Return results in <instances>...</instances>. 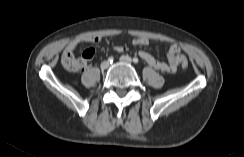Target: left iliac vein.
<instances>
[{
	"label": "left iliac vein",
	"mask_w": 244,
	"mask_h": 157,
	"mask_svg": "<svg viewBox=\"0 0 244 157\" xmlns=\"http://www.w3.org/2000/svg\"><path fill=\"white\" fill-rule=\"evenodd\" d=\"M120 61L123 63H128L131 64L132 63V59L131 57L127 56V55H123L120 57Z\"/></svg>",
	"instance_id": "obj_1"
}]
</instances>
